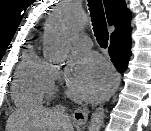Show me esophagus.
I'll return each instance as SVG.
<instances>
[{"mask_svg":"<svg viewBox=\"0 0 151 131\" xmlns=\"http://www.w3.org/2000/svg\"><path fill=\"white\" fill-rule=\"evenodd\" d=\"M119 83L120 74L116 72L106 91L94 103H92V108L100 103L108 101L118 89ZM89 112L90 111L87 107L78 108L73 113V120L78 124H84L87 121Z\"/></svg>","mask_w":151,"mask_h":131,"instance_id":"34e87169","label":"esophagus"}]
</instances>
